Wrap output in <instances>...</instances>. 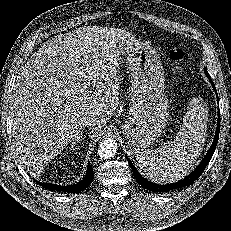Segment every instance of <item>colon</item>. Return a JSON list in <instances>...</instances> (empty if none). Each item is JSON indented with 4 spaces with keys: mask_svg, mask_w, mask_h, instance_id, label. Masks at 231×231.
<instances>
[{
    "mask_svg": "<svg viewBox=\"0 0 231 231\" xmlns=\"http://www.w3.org/2000/svg\"><path fill=\"white\" fill-rule=\"evenodd\" d=\"M170 60L177 66L178 72H183V63L187 59V54L182 48H173L169 54Z\"/></svg>",
    "mask_w": 231,
    "mask_h": 231,
    "instance_id": "5ec220e1",
    "label": "colon"
}]
</instances>
